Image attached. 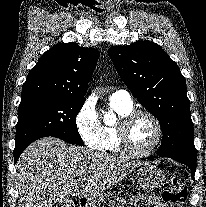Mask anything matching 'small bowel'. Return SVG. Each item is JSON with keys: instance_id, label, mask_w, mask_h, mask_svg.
<instances>
[{"instance_id": "1", "label": "small bowel", "mask_w": 206, "mask_h": 207, "mask_svg": "<svg viewBox=\"0 0 206 207\" xmlns=\"http://www.w3.org/2000/svg\"><path fill=\"white\" fill-rule=\"evenodd\" d=\"M141 207H168L165 203L161 202L156 197L143 196L138 199Z\"/></svg>"}]
</instances>
